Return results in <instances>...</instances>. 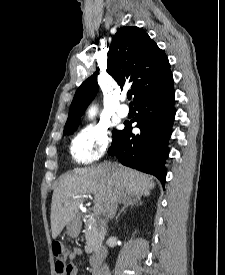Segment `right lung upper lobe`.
<instances>
[{
  "instance_id": "obj_1",
  "label": "right lung upper lobe",
  "mask_w": 225,
  "mask_h": 275,
  "mask_svg": "<svg viewBox=\"0 0 225 275\" xmlns=\"http://www.w3.org/2000/svg\"><path fill=\"white\" fill-rule=\"evenodd\" d=\"M107 72L118 85L131 86L134 101L159 89L172 77L167 56L149 35L135 26L120 28L108 52ZM99 69L78 88L70 106L66 126L80 122V116L97 93Z\"/></svg>"
}]
</instances>
